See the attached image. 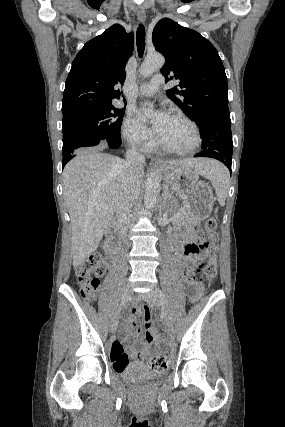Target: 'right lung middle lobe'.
<instances>
[{
    "label": "right lung middle lobe",
    "mask_w": 285,
    "mask_h": 427,
    "mask_svg": "<svg viewBox=\"0 0 285 427\" xmlns=\"http://www.w3.org/2000/svg\"><path fill=\"white\" fill-rule=\"evenodd\" d=\"M125 108L108 105L63 117V157L81 149L118 148Z\"/></svg>",
    "instance_id": "obj_1"
}]
</instances>
